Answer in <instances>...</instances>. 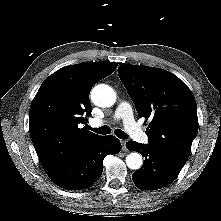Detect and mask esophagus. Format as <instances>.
<instances>
[{
	"label": "esophagus",
	"mask_w": 221,
	"mask_h": 221,
	"mask_svg": "<svg viewBox=\"0 0 221 221\" xmlns=\"http://www.w3.org/2000/svg\"><path fill=\"white\" fill-rule=\"evenodd\" d=\"M121 144H122V150L126 151V141L125 140H121Z\"/></svg>",
	"instance_id": "34e87169"
}]
</instances>
